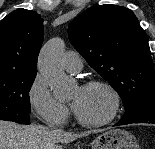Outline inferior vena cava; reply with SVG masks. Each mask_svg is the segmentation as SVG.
I'll use <instances>...</instances> for the list:
<instances>
[{"mask_svg":"<svg viewBox=\"0 0 155 149\" xmlns=\"http://www.w3.org/2000/svg\"><path fill=\"white\" fill-rule=\"evenodd\" d=\"M48 127H49L51 130H54V131L57 130L55 124H53V123H49V124H48Z\"/></svg>","mask_w":155,"mask_h":149,"instance_id":"602c4592","label":"inferior vena cava"}]
</instances>
